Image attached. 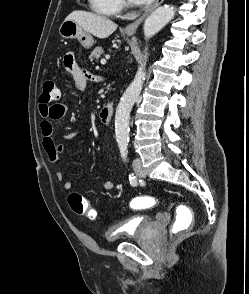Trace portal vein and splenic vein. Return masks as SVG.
Instances as JSON below:
<instances>
[{
  "instance_id": "18ae733b",
  "label": "portal vein and splenic vein",
  "mask_w": 249,
  "mask_h": 294,
  "mask_svg": "<svg viewBox=\"0 0 249 294\" xmlns=\"http://www.w3.org/2000/svg\"><path fill=\"white\" fill-rule=\"evenodd\" d=\"M101 64H102V65L106 64V60H105V59H102V60H101Z\"/></svg>"
}]
</instances>
